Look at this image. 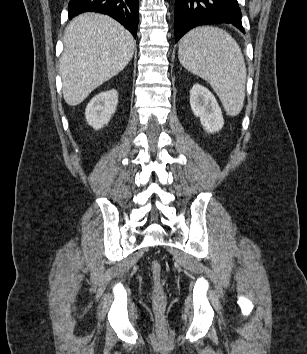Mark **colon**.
Returning <instances> with one entry per match:
<instances>
[{
    "instance_id": "1",
    "label": "colon",
    "mask_w": 307,
    "mask_h": 354,
    "mask_svg": "<svg viewBox=\"0 0 307 354\" xmlns=\"http://www.w3.org/2000/svg\"><path fill=\"white\" fill-rule=\"evenodd\" d=\"M151 274L154 282L153 286V302L158 312H162L166 304V295L162 284V265L155 260L150 265Z\"/></svg>"
}]
</instances>
